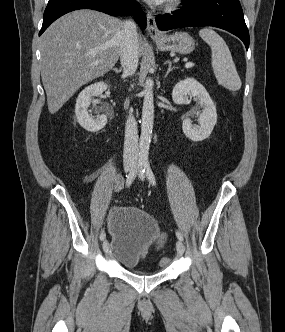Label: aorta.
Segmentation results:
<instances>
[{"instance_id":"762f6f07","label":"aorta","mask_w":285,"mask_h":332,"mask_svg":"<svg viewBox=\"0 0 285 332\" xmlns=\"http://www.w3.org/2000/svg\"><path fill=\"white\" fill-rule=\"evenodd\" d=\"M143 95L144 101L142 108L141 135L139 141V157L146 160L148 159L154 122L153 81L150 78L145 81Z\"/></svg>"}]
</instances>
